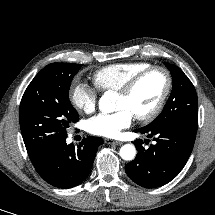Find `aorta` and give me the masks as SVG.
<instances>
[{
    "label": "aorta",
    "instance_id": "aorta-1",
    "mask_svg": "<svg viewBox=\"0 0 215 215\" xmlns=\"http://www.w3.org/2000/svg\"><path fill=\"white\" fill-rule=\"evenodd\" d=\"M115 94L107 91L99 100V109L104 113H111L115 110ZM136 155V149L132 144H125L120 149V156L123 160H133Z\"/></svg>",
    "mask_w": 215,
    "mask_h": 215
}]
</instances>
